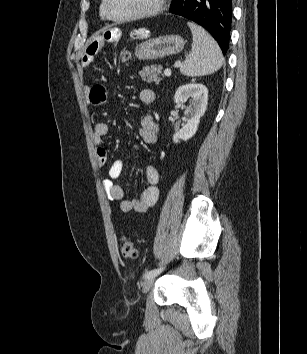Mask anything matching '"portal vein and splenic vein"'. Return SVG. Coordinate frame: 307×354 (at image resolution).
Listing matches in <instances>:
<instances>
[{"label": "portal vein and splenic vein", "instance_id": "portal-vein-and-splenic-vein-1", "mask_svg": "<svg viewBox=\"0 0 307 354\" xmlns=\"http://www.w3.org/2000/svg\"><path fill=\"white\" fill-rule=\"evenodd\" d=\"M165 76L169 77L171 75V70L170 69H165L164 70Z\"/></svg>", "mask_w": 307, "mask_h": 354}]
</instances>
